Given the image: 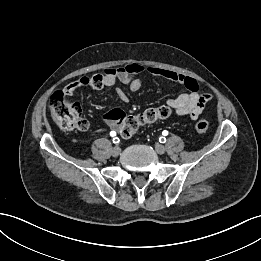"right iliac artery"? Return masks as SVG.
Here are the masks:
<instances>
[{
  "mask_svg": "<svg viewBox=\"0 0 261 261\" xmlns=\"http://www.w3.org/2000/svg\"><path fill=\"white\" fill-rule=\"evenodd\" d=\"M110 135L111 136H116V132L115 131H111ZM119 142H120V140H119L118 137L113 138V143L118 144Z\"/></svg>",
  "mask_w": 261,
  "mask_h": 261,
  "instance_id": "82829eb1",
  "label": "right iliac artery"
}]
</instances>
